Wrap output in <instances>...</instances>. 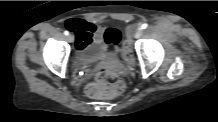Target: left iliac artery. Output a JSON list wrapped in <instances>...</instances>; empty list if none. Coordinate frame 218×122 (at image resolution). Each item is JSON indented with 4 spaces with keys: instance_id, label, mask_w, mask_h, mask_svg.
I'll return each instance as SVG.
<instances>
[{
    "instance_id": "left-iliac-artery-1",
    "label": "left iliac artery",
    "mask_w": 218,
    "mask_h": 122,
    "mask_svg": "<svg viewBox=\"0 0 218 122\" xmlns=\"http://www.w3.org/2000/svg\"><path fill=\"white\" fill-rule=\"evenodd\" d=\"M148 27V24L147 23H144L143 25H142V29H146Z\"/></svg>"
}]
</instances>
